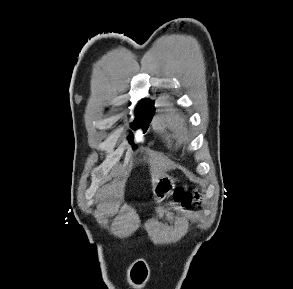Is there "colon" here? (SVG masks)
<instances>
[{
    "instance_id": "1",
    "label": "colon",
    "mask_w": 293,
    "mask_h": 289,
    "mask_svg": "<svg viewBox=\"0 0 293 289\" xmlns=\"http://www.w3.org/2000/svg\"><path fill=\"white\" fill-rule=\"evenodd\" d=\"M174 201L179 208H188L197 201L198 193H191L183 187H179L174 191Z\"/></svg>"
}]
</instances>
